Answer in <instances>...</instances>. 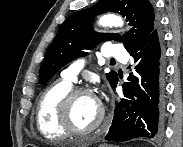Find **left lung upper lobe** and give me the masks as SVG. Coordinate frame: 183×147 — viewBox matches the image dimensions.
Wrapping results in <instances>:
<instances>
[{
    "label": "left lung upper lobe",
    "instance_id": "obj_1",
    "mask_svg": "<svg viewBox=\"0 0 183 147\" xmlns=\"http://www.w3.org/2000/svg\"><path fill=\"white\" fill-rule=\"evenodd\" d=\"M115 12L126 17L132 29L120 36L115 33L93 32L92 21L97 14ZM159 26L153 6L149 0H100L90 9L78 11L69 16L59 28L49 46L39 72V84H46L58 70L70 61L87 55L100 41L118 40L128 50L144 40ZM111 86L117 82L115 71L106 74Z\"/></svg>",
    "mask_w": 183,
    "mask_h": 147
}]
</instances>
